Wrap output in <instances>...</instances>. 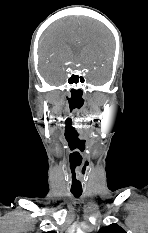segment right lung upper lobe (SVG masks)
<instances>
[{
  "label": "right lung upper lobe",
  "instance_id": "right-lung-upper-lobe-1",
  "mask_svg": "<svg viewBox=\"0 0 148 233\" xmlns=\"http://www.w3.org/2000/svg\"><path fill=\"white\" fill-rule=\"evenodd\" d=\"M47 233H56L55 231H49V232H47Z\"/></svg>",
  "mask_w": 148,
  "mask_h": 233
}]
</instances>
